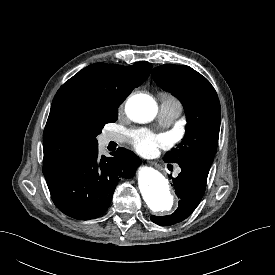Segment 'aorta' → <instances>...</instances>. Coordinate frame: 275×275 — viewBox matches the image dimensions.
<instances>
[{"label": "aorta", "instance_id": "1", "mask_svg": "<svg viewBox=\"0 0 275 275\" xmlns=\"http://www.w3.org/2000/svg\"><path fill=\"white\" fill-rule=\"evenodd\" d=\"M128 117L138 123L150 122L157 114V103L149 95L137 94L126 103ZM141 194L154 212L169 211L174 204L168 180L152 167H142L138 172Z\"/></svg>", "mask_w": 275, "mask_h": 275}]
</instances>
